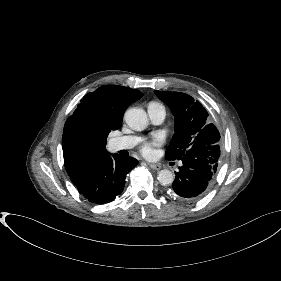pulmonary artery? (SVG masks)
I'll return each instance as SVG.
<instances>
[{
  "label": "pulmonary artery",
  "mask_w": 281,
  "mask_h": 281,
  "mask_svg": "<svg viewBox=\"0 0 281 281\" xmlns=\"http://www.w3.org/2000/svg\"><path fill=\"white\" fill-rule=\"evenodd\" d=\"M148 114L150 120L154 124L162 123L166 116L164 107L154 106V105H149ZM138 141L139 139L134 136L118 137L113 140L112 147L115 151L131 149L137 144Z\"/></svg>",
  "instance_id": "1"
}]
</instances>
